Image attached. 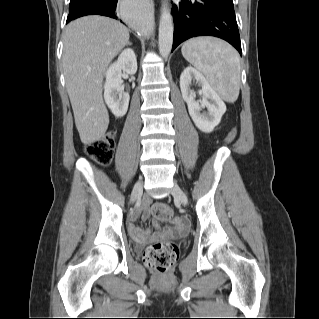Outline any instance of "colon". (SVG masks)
I'll return each instance as SVG.
<instances>
[{"mask_svg": "<svg viewBox=\"0 0 319 319\" xmlns=\"http://www.w3.org/2000/svg\"><path fill=\"white\" fill-rule=\"evenodd\" d=\"M236 137V130L232 129L227 135L226 143H231ZM115 138L107 133L99 140L86 145V153L101 164L108 163L113 155ZM155 219L166 221L175 217L173 210L166 204H155L152 208ZM179 256V247L173 242H156L146 247L143 254L144 264L155 270L159 276L166 275L170 267Z\"/></svg>", "mask_w": 319, "mask_h": 319, "instance_id": "obj_1", "label": "colon"}]
</instances>
